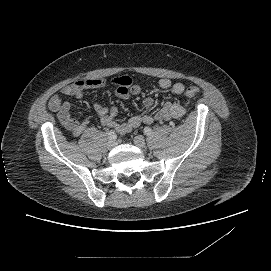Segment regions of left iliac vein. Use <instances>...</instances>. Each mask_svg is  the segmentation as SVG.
<instances>
[{"label":"left iliac vein","instance_id":"1","mask_svg":"<svg viewBox=\"0 0 271 271\" xmlns=\"http://www.w3.org/2000/svg\"><path fill=\"white\" fill-rule=\"evenodd\" d=\"M133 141H134V144H135L137 147L141 148V149H143V148L146 147L145 140H144V138H143L142 136H140V135L135 136Z\"/></svg>","mask_w":271,"mask_h":271}]
</instances>
